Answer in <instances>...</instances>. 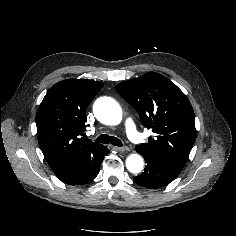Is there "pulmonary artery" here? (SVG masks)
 <instances>
[{
	"mask_svg": "<svg viewBox=\"0 0 236 236\" xmlns=\"http://www.w3.org/2000/svg\"><path fill=\"white\" fill-rule=\"evenodd\" d=\"M125 129L127 136L129 139L134 143H140L141 142V135L137 131L136 126L131 118L126 119L125 121Z\"/></svg>",
	"mask_w": 236,
	"mask_h": 236,
	"instance_id": "pulmonary-artery-1",
	"label": "pulmonary artery"
}]
</instances>
